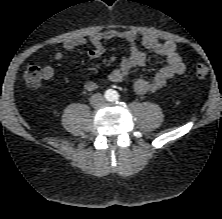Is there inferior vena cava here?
Returning <instances> with one entry per match:
<instances>
[{
	"instance_id": "inferior-vena-cava-1",
	"label": "inferior vena cava",
	"mask_w": 222,
	"mask_h": 219,
	"mask_svg": "<svg viewBox=\"0 0 222 219\" xmlns=\"http://www.w3.org/2000/svg\"><path fill=\"white\" fill-rule=\"evenodd\" d=\"M90 102L93 106H97L99 104H102L104 102V98L101 94H94L91 99Z\"/></svg>"
}]
</instances>
